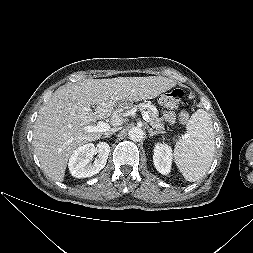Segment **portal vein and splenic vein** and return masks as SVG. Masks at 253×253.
<instances>
[{"instance_id": "obj_1", "label": "portal vein and splenic vein", "mask_w": 253, "mask_h": 253, "mask_svg": "<svg viewBox=\"0 0 253 253\" xmlns=\"http://www.w3.org/2000/svg\"><path fill=\"white\" fill-rule=\"evenodd\" d=\"M142 117L145 121H149L150 117L147 112L142 113ZM110 129L108 123L99 121L97 125H87L83 127V131L85 132H106Z\"/></svg>"}]
</instances>
